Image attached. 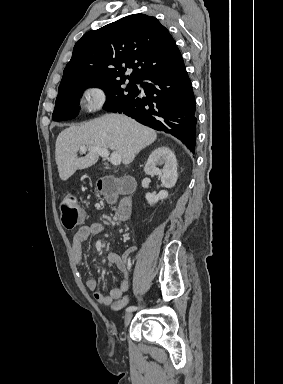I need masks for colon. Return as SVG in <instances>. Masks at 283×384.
<instances>
[{"label": "colon", "instance_id": "obj_1", "mask_svg": "<svg viewBox=\"0 0 283 384\" xmlns=\"http://www.w3.org/2000/svg\"><path fill=\"white\" fill-rule=\"evenodd\" d=\"M97 190L108 199H114L121 187L119 183L111 178L99 180ZM61 220L66 229H73L85 220V212L81 209L77 199L72 195L65 196L61 201ZM127 304V298L124 297L113 304V308L118 310Z\"/></svg>", "mask_w": 283, "mask_h": 384}]
</instances>
